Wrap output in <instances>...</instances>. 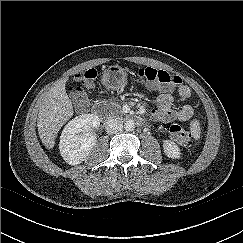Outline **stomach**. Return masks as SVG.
Listing matches in <instances>:
<instances>
[{
  "label": "stomach",
  "mask_w": 243,
  "mask_h": 243,
  "mask_svg": "<svg viewBox=\"0 0 243 243\" xmlns=\"http://www.w3.org/2000/svg\"><path fill=\"white\" fill-rule=\"evenodd\" d=\"M101 82L109 90H120L127 83V72L119 65H110L104 70Z\"/></svg>",
  "instance_id": "obj_1"
}]
</instances>
